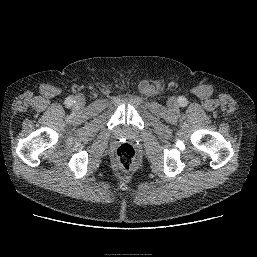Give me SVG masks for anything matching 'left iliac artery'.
<instances>
[{
  "instance_id": "44dca946",
  "label": "left iliac artery",
  "mask_w": 257,
  "mask_h": 257,
  "mask_svg": "<svg viewBox=\"0 0 257 257\" xmlns=\"http://www.w3.org/2000/svg\"><path fill=\"white\" fill-rule=\"evenodd\" d=\"M178 101L181 106H185L187 104V100L185 97H179Z\"/></svg>"
}]
</instances>
